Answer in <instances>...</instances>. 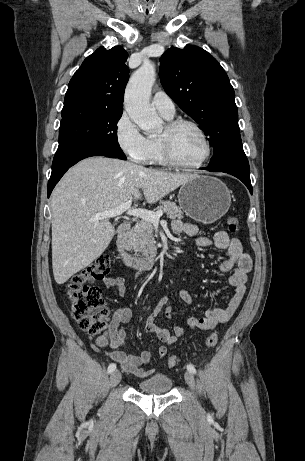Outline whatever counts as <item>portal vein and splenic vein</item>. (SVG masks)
<instances>
[{
	"instance_id": "1",
	"label": "portal vein and splenic vein",
	"mask_w": 305,
	"mask_h": 461,
	"mask_svg": "<svg viewBox=\"0 0 305 461\" xmlns=\"http://www.w3.org/2000/svg\"><path fill=\"white\" fill-rule=\"evenodd\" d=\"M132 199L128 200L124 204L116 207L113 210L98 213L92 217V221H98L102 219H108L116 216H120L123 213H126L129 216H134L137 218H141L142 220H146L151 223L158 224L160 221V217L163 215V211L159 210L157 212H152L146 209L135 208L131 209Z\"/></svg>"
}]
</instances>
